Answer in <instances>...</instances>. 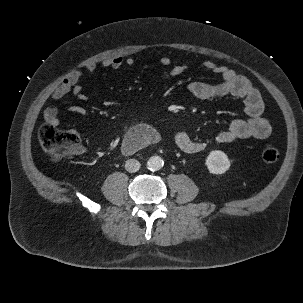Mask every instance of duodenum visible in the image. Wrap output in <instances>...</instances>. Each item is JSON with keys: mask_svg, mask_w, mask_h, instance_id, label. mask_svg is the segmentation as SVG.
<instances>
[{"mask_svg": "<svg viewBox=\"0 0 303 303\" xmlns=\"http://www.w3.org/2000/svg\"><path fill=\"white\" fill-rule=\"evenodd\" d=\"M157 140V133L152 128L137 127L125 136L122 149L126 154H131L148 144L157 142Z\"/></svg>", "mask_w": 303, "mask_h": 303, "instance_id": "obj_1", "label": "duodenum"}]
</instances>
